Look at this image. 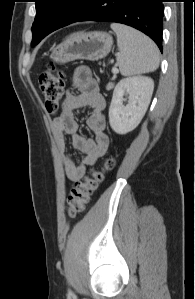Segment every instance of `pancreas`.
Segmentation results:
<instances>
[{"label":"pancreas","instance_id":"cf45deb5","mask_svg":"<svg viewBox=\"0 0 195 299\" xmlns=\"http://www.w3.org/2000/svg\"><path fill=\"white\" fill-rule=\"evenodd\" d=\"M114 87V84L112 82L108 83V85L106 86L107 90H110Z\"/></svg>","mask_w":195,"mask_h":299}]
</instances>
